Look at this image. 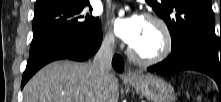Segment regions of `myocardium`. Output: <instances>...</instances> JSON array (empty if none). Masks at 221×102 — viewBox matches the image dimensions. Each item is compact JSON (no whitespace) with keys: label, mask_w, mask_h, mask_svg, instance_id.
<instances>
[{"label":"myocardium","mask_w":221,"mask_h":102,"mask_svg":"<svg viewBox=\"0 0 221 102\" xmlns=\"http://www.w3.org/2000/svg\"><path fill=\"white\" fill-rule=\"evenodd\" d=\"M144 19L158 26L163 36V47L155 56L143 57L140 56L130 45L128 47V55L134 62L148 66L160 63L170 55L173 49V37L170 28L161 17L152 13H146Z\"/></svg>","instance_id":"obj_1"}]
</instances>
